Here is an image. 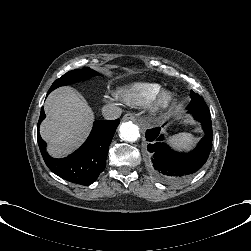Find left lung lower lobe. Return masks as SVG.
<instances>
[{
    "mask_svg": "<svg viewBox=\"0 0 251 251\" xmlns=\"http://www.w3.org/2000/svg\"><path fill=\"white\" fill-rule=\"evenodd\" d=\"M188 113L201 123L205 136L197 147L189 153L175 152L163 143L160 127L146 131L147 149L150 153L152 173L161 181L176 183L195 174L207 161L212 148V123L210 113L195 108H187Z\"/></svg>",
    "mask_w": 251,
    "mask_h": 251,
    "instance_id": "left-lung-lower-lobe-1",
    "label": "left lung lower lobe"
}]
</instances>
